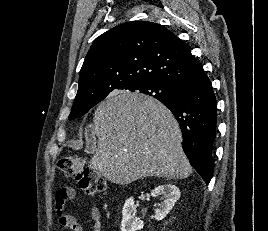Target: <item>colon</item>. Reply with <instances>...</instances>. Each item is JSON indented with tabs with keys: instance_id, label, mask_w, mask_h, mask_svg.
Masks as SVG:
<instances>
[{
	"instance_id": "5ec220e1",
	"label": "colon",
	"mask_w": 268,
	"mask_h": 231,
	"mask_svg": "<svg viewBox=\"0 0 268 231\" xmlns=\"http://www.w3.org/2000/svg\"><path fill=\"white\" fill-rule=\"evenodd\" d=\"M57 168L59 172L74 177L89 195H96L105 190V182L85 158L75 155L64 156L58 161ZM68 194V191L61 193L63 197Z\"/></svg>"
}]
</instances>
